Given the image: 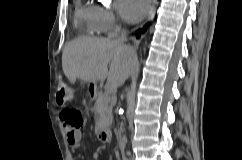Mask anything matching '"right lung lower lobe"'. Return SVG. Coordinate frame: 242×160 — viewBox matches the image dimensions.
<instances>
[{
	"instance_id": "obj_1",
	"label": "right lung lower lobe",
	"mask_w": 242,
	"mask_h": 160,
	"mask_svg": "<svg viewBox=\"0 0 242 160\" xmlns=\"http://www.w3.org/2000/svg\"><path fill=\"white\" fill-rule=\"evenodd\" d=\"M148 25H149V24H146V25L144 26L143 30H138V31H137V33H136L137 37H139V35H140L141 32H145V31H146Z\"/></svg>"
}]
</instances>
